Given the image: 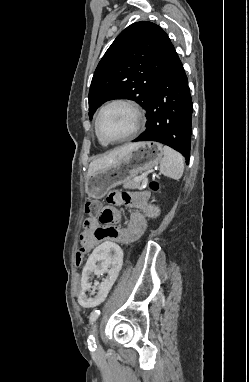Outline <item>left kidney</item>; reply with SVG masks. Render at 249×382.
<instances>
[{
  "mask_svg": "<svg viewBox=\"0 0 249 382\" xmlns=\"http://www.w3.org/2000/svg\"><path fill=\"white\" fill-rule=\"evenodd\" d=\"M100 244L95 245L81 273L79 291L75 297L81 309L103 307L106 293L115 286L116 277L122 272L121 245H114L113 240H102Z\"/></svg>",
  "mask_w": 249,
  "mask_h": 382,
  "instance_id": "left-kidney-1",
  "label": "left kidney"
}]
</instances>
